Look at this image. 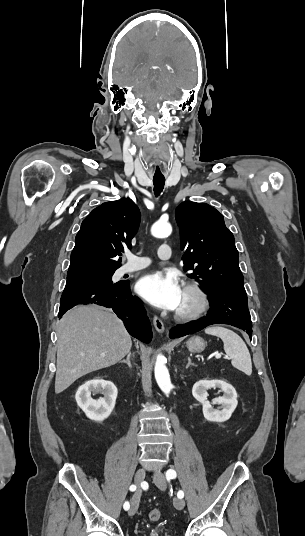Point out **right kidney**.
<instances>
[{"instance_id": "ca27d5eb", "label": "right kidney", "mask_w": 305, "mask_h": 536, "mask_svg": "<svg viewBox=\"0 0 305 536\" xmlns=\"http://www.w3.org/2000/svg\"><path fill=\"white\" fill-rule=\"evenodd\" d=\"M92 392L94 394H103L104 398L93 400L91 398ZM117 394L118 390L113 382H108L103 378H93V380H88L78 388L75 400L79 408L85 412L87 418L102 422L114 410Z\"/></svg>"}]
</instances>
